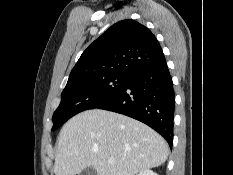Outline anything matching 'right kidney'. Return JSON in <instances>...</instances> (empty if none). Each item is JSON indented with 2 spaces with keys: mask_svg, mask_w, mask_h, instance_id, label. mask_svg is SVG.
Instances as JSON below:
<instances>
[{
  "mask_svg": "<svg viewBox=\"0 0 233 175\" xmlns=\"http://www.w3.org/2000/svg\"><path fill=\"white\" fill-rule=\"evenodd\" d=\"M137 175H158L157 173L153 172L152 170H144L139 172Z\"/></svg>",
  "mask_w": 233,
  "mask_h": 175,
  "instance_id": "obj_1",
  "label": "right kidney"
}]
</instances>
